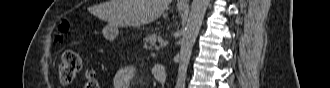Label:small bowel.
<instances>
[{"instance_id": "obj_1", "label": "small bowel", "mask_w": 330, "mask_h": 88, "mask_svg": "<svg viewBox=\"0 0 330 88\" xmlns=\"http://www.w3.org/2000/svg\"><path fill=\"white\" fill-rule=\"evenodd\" d=\"M137 73L138 69L134 66L119 70L114 76V88H130ZM151 73L153 78L159 82L164 80L166 76L165 67L163 65H154L151 69Z\"/></svg>"}]
</instances>
